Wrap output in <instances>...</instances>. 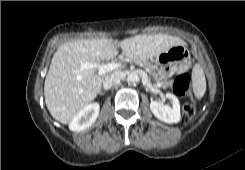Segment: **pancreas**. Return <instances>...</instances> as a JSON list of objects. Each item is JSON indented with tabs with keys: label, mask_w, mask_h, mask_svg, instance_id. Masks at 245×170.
Wrapping results in <instances>:
<instances>
[{
	"label": "pancreas",
	"mask_w": 245,
	"mask_h": 170,
	"mask_svg": "<svg viewBox=\"0 0 245 170\" xmlns=\"http://www.w3.org/2000/svg\"><path fill=\"white\" fill-rule=\"evenodd\" d=\"M131 61L142 66L155 82L162 84L163 88H167L172 84V81H166L165 79H162L158 75L156 67L147 59L135 58L131 59Z\"/></svg>",
	"instance_id": "1"
}]
</instances>
